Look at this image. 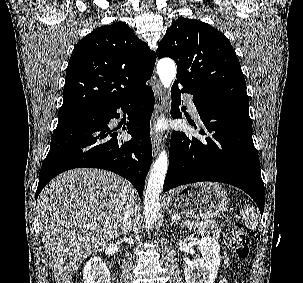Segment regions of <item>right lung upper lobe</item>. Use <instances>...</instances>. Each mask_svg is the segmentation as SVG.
<instances>
[{
  "mask_svg": "<svg viewBox=\"0 0 303 283\" xmlns=\"http://www.w3.org/2000/svg\"><path fill=\"white\" fill-rule=\"evenodd\" d=\"M156 54L124 22L101 26L74 47L58 117L98 111L126 100L150 79Z\"/></svg>",
  "mask_w": 303,
  "mask_h": 283,
  "instance_id": "1",
  "label": "right lung upper lobe"
}]
</instances>
